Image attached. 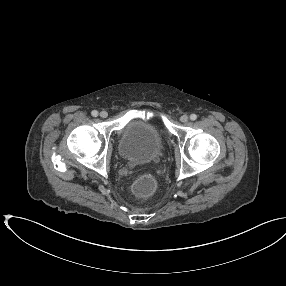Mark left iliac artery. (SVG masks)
Instances as JSON below:
<instances>
[{
    "label": "left iliac artery",
    "mask_w": 286,
    "mask_h": 286,
    "mask_svg": "<svg viewBox=\"0 0 286 286\" xmlns=\"http://www.w3.org/2000/svg\"><path fill=\"white\" fill-rule=\"evenodd\" d=\"M190 119L193 120V121L196 120L197 119V115L196 114H191L190 115Z\"/></svg>",
    "instance_id": "44dca946"
}]
</instances>
